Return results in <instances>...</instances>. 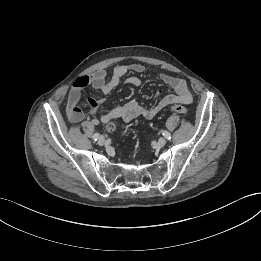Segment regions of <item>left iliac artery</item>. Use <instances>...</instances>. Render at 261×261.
Listing matches in <instances>:
<instances>
[{
  "instance_id": "left-iliac-artery-1",
  "label": "left iliac artery",
  "mask_w": 261,
  "mask_h": 261,
  "mask_svg": "<svg viewBox=\"0 0 261 261\" xmlns=\"http://www.w3.org/2000/svg\"><path fill=\"white\" fill-rule=\"evenodd\" d=\"M162 134H163V136H164L166 139H168V140L171 139V134H170L169 132L163 131Z\"/></svg>"
}]
</instances>
